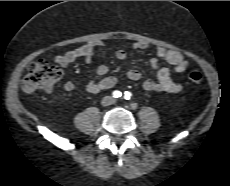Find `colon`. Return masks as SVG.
<instances>
[{
	"label": "colon",
	"mask_w": 230,
	"mask_h": 186,
	"mask_svg": "<svg viewBox=\"0 0 230 186\" xmlns=\"http://www.w3.org/2000/svg\"><path fill=\"white\" fill-rule=\"evenodd\" d=\"M61 74L60 67L55 64L42 59L33 61L22 80V89L28 94L39 90H51ZM187 79L193 83H202L204 76L199 71H191L187 74Z\"/></svg>",
	"instance_id": "colon-1"
}]
</instances>
